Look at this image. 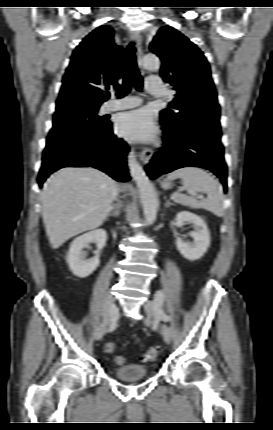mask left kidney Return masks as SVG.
Returning a JSON list of instances; mask_svg holds the SVG:
<instances>
[{"label":"left kidney","instance_id":"left-kidney-1","mask_svg":"<svg viewBox=\"0 0 273 430\" xmlns=\"http://www.w3.org/2000/svg\"><path fill=\"white\" fill-rule=\"evenodd\" d=\"M187 222L192 223L195 228V231L190 233L193 242H187L177 237L176 246L184 258L195 261L200 259L210 246V232L205 220L189 211L179 212L174 223L177 227H181Z\"/></svg>","mask_w":273,"mask_h":430}]
</instances>
